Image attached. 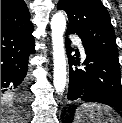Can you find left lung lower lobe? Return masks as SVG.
Segmentation results:
<instances>
[{
    "label": "left lung lower lobe",
    "mask_w": 122,
    "mask_h": 123,
    "mask_svg": "<svg viewBox=\"0 0 122 123\" xmlns=\"http://www.w3.org/2000/svg\"><path fill=\"white\" fill-rule=\"evenodd\" d=\"M67 35L71 32L67 30ZM70 40L66 38L69 61L70 101L98 102L122 110V85L118 56L83 43L86 60L84 69L72 68L79 64L78 55L71 56ZM79 54V52H77Z\"/></svg>",
    "instance_id": "obj_1"
}]
</instances>
